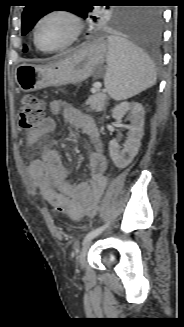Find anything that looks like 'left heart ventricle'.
Wrapping results in <instances>:
<instances>
[{
  "label": "left heart ventricle",
  "mask_w": 184,
  "mask_h": 327,
  "mask_svg": "<svg viewBox=\"0 0 184 327\" xmlns=\"http://www.w3.org/2000/svg\"><path fill=\"white\" fill-rule=\"evenodd\" d=\"M72 34V26L62 16H52L44 20L37 32L39 44L44 48H55L65 43Z\"/></svg>",
  "instance_id": "b2bd125f"
}]
</instances>
